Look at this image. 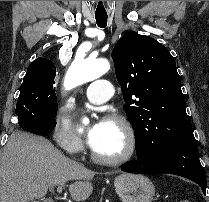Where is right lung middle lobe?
Listing matches in <instances>:
<instances>
[{
	"mask_svg": "<svg viewBox=\"0 0 209 202\" xmlns=\"http://www.w3.org/2000/svg\"><path fill=\"white\" fill-rule=\"evenodd\" d=\"M55 75L36 74L23 79L16 105L19 118L35 116L52 120L56 117L57 99L54 85Z\"/></svg>",
	"mask_w": 209,
	"mask_h": 202,
	"instance_id": "obj_1",
	"label": "right lung middle lobe"
}]
</instances>
